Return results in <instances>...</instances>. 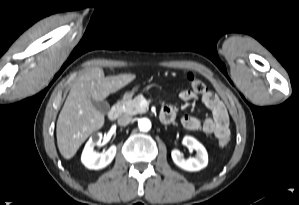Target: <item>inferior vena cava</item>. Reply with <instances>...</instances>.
<instances>
[{"label": "inferior vena cava", "mask_w": 299, "mask_h": 205, "mask_svg": "<svg viewBox=\"0 0 299 205\" xmlns=\"http://www.w3.org/2000/svg\"><path fill=\"white\" fill-rule=\"evenodd\" d=\"M132 121V117L128 115H122L118 118V124L121 126H126Z\"/></svg>", "instance_id": "inferior-vena-cava-1"}]
</instances>
